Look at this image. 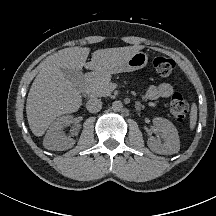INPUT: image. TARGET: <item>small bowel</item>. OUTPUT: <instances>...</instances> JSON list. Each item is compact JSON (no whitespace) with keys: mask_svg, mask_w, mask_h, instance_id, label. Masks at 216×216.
<instances>
[{"mask_svg":"<svg viewBox=\"0 0 216 216\" xmlns=\"http://www.w3.org/2000/svg\"><path fill=\"white\" fill-rule=\"evenodd\" d=\"M173 90V86L170 83L163 82L157 85L150 86L147 89L145 96L150 100H156L159 98L166 99L172 95Z\"/></svg>","mask_w":216,"mask_h":216,"instance_id":"small-bowel-1","label":"small bowel"}]
</instances>
